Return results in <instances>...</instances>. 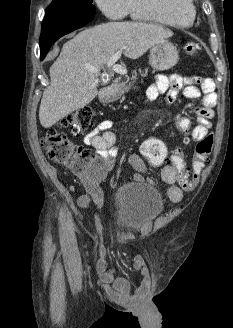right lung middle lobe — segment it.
I'll return each mask as SVG.
<instances>
[{"label":"right lung middle lobe","instance_id":"dd1d6c3e","mask_svg":"<svg viewBox=\"0 0 233 328\" xmlns=\"http://www.w3.org/2000/svg\"><path fill=\"white\" fill-rule=\"evenodd\" d=\"M47 13L82 14L95 13L92 0H53Z\"/></svg>","mask_w":233,"mask_h":328}]
</instances>
